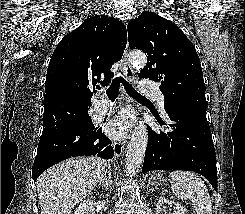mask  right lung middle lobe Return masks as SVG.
I'll return each instance as SVG.
<instances>
[{
  "label": "right lung middle lobe",
  "instance_id": "1",
  "mask_svg": "<svg viewBox=\"0 0 245 214\" xmlns=\"http://www.w3.org/2000/svg\"><path fill=\"white\" fill-rule=\"evenodd\" d=\"M77 117L78 118H81V119H88V118H90V116L88 115V109L82 111Z\"/></svg>",
  "mask_w": 245,
  "mask_h": 214
}]
</instances>
